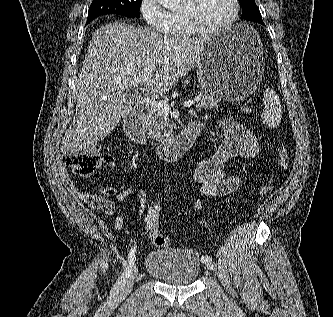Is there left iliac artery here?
Masks as SVG:
<instances>
[{"label": "left iliac artery", "instance_id": "44dca946", "mask_svg": "<svg viewBox=\"0 0 333 317\" xmlns=\"http://www.w3.org/2000/svg\"><path fill=\"white\" fill-rule=\"evenodd\" d=\"M201 260H202V262L206 263V262H208V261H210V260H212V259H211L210 256L205 255V256H202Z\"/></svg>", "mask_w": 333, "mask_h": 317}]
</instances>
